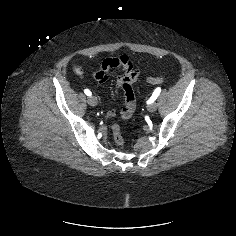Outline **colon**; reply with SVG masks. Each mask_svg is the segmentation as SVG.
I'll return each instance as SVG.
<instances>
[{"mask_svg":"<svg viewBox=\"0 0 236 236\" xmlns=\"http://www.w3.org/2000/svg\"><path fill=\"white\" fill-rule=\"evenodd\" d=\"M163 80H164V77L157 76V77L148 78L147 82L149 84L155 85V84L163 82ZM129 105L131 107L132 103H130ZM111 131H112V135H113V139H114L115 143L119 146H122L124 144V138L122 135L121 127L118 124H114L111 127Z\"/></svg>","mask_w":236,"mask_h":236,"instance_id":"colon-1","label":"colon"}]
</instances>
